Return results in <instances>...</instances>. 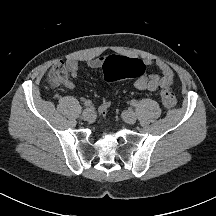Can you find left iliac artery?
Listing matches in <instances>:
<instances>
[{
	"mask_svg": "<svg viewBox=\"0 0 216 216\" xmlns=\"http://www.w3.org/2000/svg\"><path fill=\"white\" fill-rule=\"evenodd\" d=\"M131 105H132V106H136V105H137V101H136V100H132V101H131Z\"/></svg>",
	"mask_w": 216,
	"mask_h": 216,
	"instance_id": "1",
	"label": "left iliac artery"
}]
</instances>
